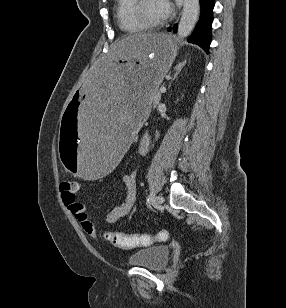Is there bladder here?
<instances>
[{
    "instance_id": "31cf9c89",
    "label": "bladder",
    "mask_w": 286,
    "mask_h": 308,
    "mask_svg": "<svg viewBox=\"0 0 286 308\" xmlns=\"http://www.w3.org/2000/svg\"><path fill=\"white\" fill-rule=\"evenodd\" d=\"M170 258V249L164 245L149 246L133 253L128 263L130 265L144 267L150 270H162Z\"/></svg>"
}]
</instances>
